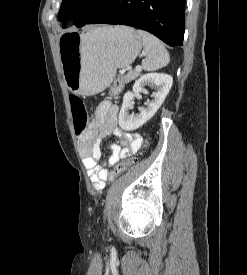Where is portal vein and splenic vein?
I'll return each instance as SVG.
<instances>
[{
  "label": "portal vein and splenic vein",
  "instance_id": "1",
  "mask_svg": "<svg viewBox=\"0 0 247 275\" xmlns=\"http://www.w3.org/2000/svg\"><path fill=\"white\" fill-rule=\"evenodd\" d=\"M136 70H137V71H141L142 68H141L140 66H137V67H136Z\"/></svg>",
  "mask_w": 247,
  "mask_h": 275
}]
</instances>
